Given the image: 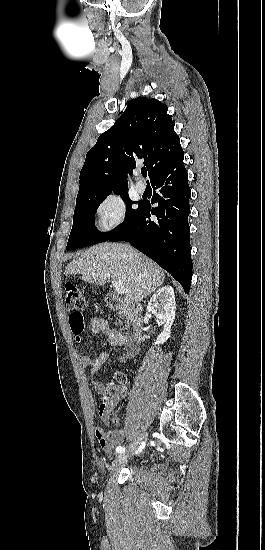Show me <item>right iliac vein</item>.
Instances as JSON below:
<instances>
[{"mask_svg": "<svg viewBox=\"0 0 265 550\" xmlns=\"http://www.w3.org/2000/svg\"><path fill=\"white\" fill-rule=\"evenodd\" d=\"M147 438V433L144 432L142 439L145 440ZM133 446L130 447V451L126 454H119L116 459L112 462L110 469L116 467L119 463L127 461V459L132 455Z\"/></svg>", "mask_w": 265, "mask_h": 550, "instance_id": "1", "label": "right iliac vein"}]
</instances>
